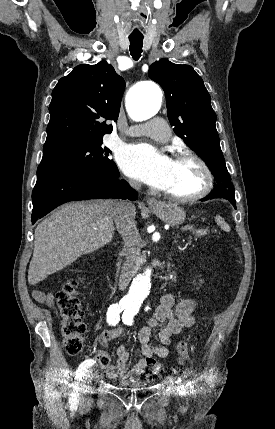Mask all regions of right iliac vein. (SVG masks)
<instances>
[{
  "mask_svg": "<svg viewBox=\"0 0 275 429\" xmlns=\"http://www.w3.org/2000/svg\"><path fill=\"white\" fill-rule=\"evenodd\" d=\"M92 376H93L92 370H89L82 380L83 385H82V389H81V394H82L81 399L84 402H87L89 400V396L84 394V391L89 388V384L91 382Z\"/></svg>",
  "mask_w": 275,
  "mask_h": 429,
  "instance_id": "obj_1",
  "label": "right iliac vein"
}]
</instances>
